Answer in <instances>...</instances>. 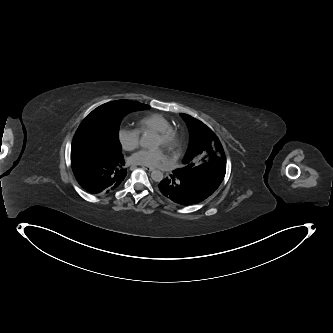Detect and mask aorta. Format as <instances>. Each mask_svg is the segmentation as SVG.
I'll return each instance as SVG.
<instances>
[{"mask_svg":"<svg viewBox=\"0 0 333 333\" xmlns=\"http://www.w3.org/2000/svg\"><path fill=\"white\" fill-rule=\"evenodd\" d=\"M159 144H160V139L158 135L155 133L143 134V136L140 139V145L146 149H156L159 146ZM151 178L155 182H160L161 180H163L164 175L161 171L154 170L151 173Z\"/></svg>","mask_w":333,"mask_h":333,"instance_id":"obj_1","label":"aorta"}]
</instances>
